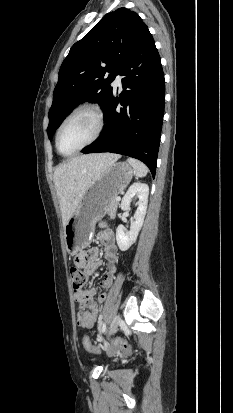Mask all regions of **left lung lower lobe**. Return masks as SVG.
Segmentation results:
<instances>
[{
    "label": "left lung lower lobe",
    "mask_w": 233,
    "mask_h": 413,
    "mask_svg": "<svg viewBox=\"0 0 233 413\" xmlns=\"http://www.w3.org/2000/svg\"><path fill=\"white\" fill-rule=\"evenodd\" d=\"M123 92L105 110L103 134L83 153L112 152L144 162L155 176L164 115L165 81L160 56L149 30L122 67ZM120 102L122 107L117 110Z\"/></svg>",
    "instance_id": "left-lung-lower-lobe-1"
}]
</instances>
